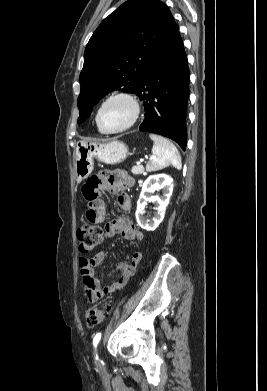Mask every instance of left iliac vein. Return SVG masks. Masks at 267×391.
Listing matches in <instances>:
<instances>
[{
  "instance_id": "1",
  "label": "left iliac vein",
  "mask_w": 267,
  "mask_h": 391,
  "mask_svg": "<svg viewBox=\"0 0 267 391\" xmlns=\"http://www.w3.org/2000/svg\"><path fill=\"white\" fill-rule=\"evenodd\" d=\"M94 355L95 356H98V349H97V347L94 349ZM99 361V359L97 358V362Z\"/></svg>"
}]
</instances>
